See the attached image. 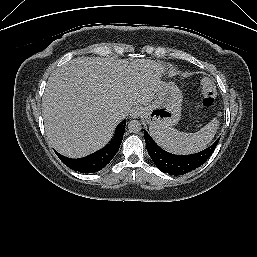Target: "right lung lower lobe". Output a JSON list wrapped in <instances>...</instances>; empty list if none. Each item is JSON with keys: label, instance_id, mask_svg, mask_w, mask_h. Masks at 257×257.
I'll list each match as a JSON object with an SVG mask.
<instances>
[{"label": "right lung lower lobe", "instance_id": "1", "mask_svg": "<svg viewBox=\"0 0 257 257\" xmlns=\"http://www.w3.org/2000/svg\"><path fill=\"white\" fill-rule=\"evenodd\" d=\"M125 125L126 121L124 120L117 126L114 137L108 146L87 157L72 159L63 156L56 151L55 153L59 159L72 170L79 171L81 173L98 172L112 160L119 150L125 132Z\"/></svg>", "mask_w": 257, "mask_h": 257}]
</instances>
